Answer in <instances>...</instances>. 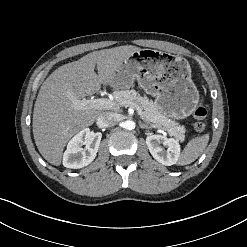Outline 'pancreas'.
Returning a JSON list of instances; mask_svg holds the SVG:
<instances>
[{
  "mask_svg": "<svg viewBox=\"0 0 247 247\" xmlns=\"http://www.w3.org/2000/svg\"><path fill=\"white\" fill-rule=\"evenodd\" d=\"M113 96L115 101L121 106H126L127 102L136 103L141 110H143V119L145 121L151 123L153 127L163 128L170 136H173L178 140H184V127L178 126L174 121L162 114L156 103L149 100L148 97L140 96V94L134 89L116 90L113 93Z\"/></svg>",
  "mask_w": 247,
  "mask_h": 247,
  "instance_id": "1",
  "label": "pancreas"
}]
</instances>
